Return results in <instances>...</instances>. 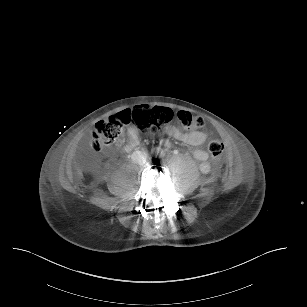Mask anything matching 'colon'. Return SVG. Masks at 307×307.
Segmentation results:
<instances>
[{"label":"colon","instance_id":"1","mask_svg":"<svg viewBox=\"0 0 307 307\" xmlns=\"http://www.w3.org/2000/svg\"><path fill=\"white\" fill-rule=\"evenodd\" d=\"M177 118L180 125L187 129H196L204 126V120L194 116L186 110L176 113L166 107L138 106L116 114L108 119H100L91 134V147L95 152L101 151L105 146L111 144L119 137L122 126L126 124L136 125L142 132L157 133L162 127ZM208 151L214 162L223 157V143L215 136L209 137Z\"/></svg>","mask_w":307,"mask_h":307}]
</instances>
